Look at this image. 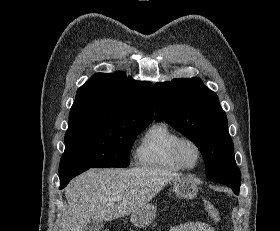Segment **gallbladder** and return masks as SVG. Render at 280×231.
<instances>
[{
    "label": "gallbladder",
    "instance_id": "obj_1",
    "mask_svg": "<svg viewBox=\"0 0 280 231\" xmlns=\"http://www.w3.org/2000/svg\"><path fill=\"white\" fill-rule=\"evenodd\" d=\"M102 227H104L102 219H90L89 223L84 227V231H100Z\"/></svg>",
    "mask_w": 280,
    "mask_h": 231
}]
</instances>
